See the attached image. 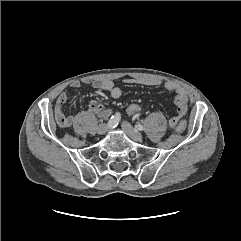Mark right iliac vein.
Returning a JSON list of instances; mask_svg holds the SVG:
<instances>
[{
  "label": "right iliac vein",
  "mask_w": 241,
  "mask_h": 241,
  "mask_svg": "<svg viewBox=\"0 0 241 241\" xmlns=\"http://www.w3.org/2000/svg\"><path fill=\"white\" fill-rule=\"evenodd\" d=\"M107 130H108V125H106V124H100V125L97 127V133H98L99 135L105 134Z\"/></svg>",
  "instance_id": "1"
}]
</instances>
